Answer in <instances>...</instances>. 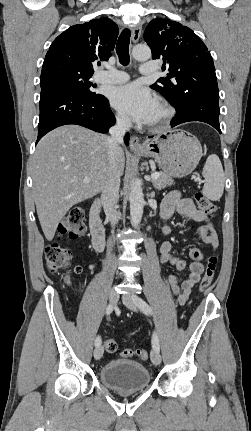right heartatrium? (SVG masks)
Instances as JSON below:
<instances>
[{"mask_svg": "<svg viewBox=\"0 0 251 431\" xmlns=\"http://www.w3.org/2000/svg\"><path fill=\"white\" fill-rule=\"evenodd\" d=\"M116 122L121 127H127L128 126V120L121 114L116 115Z\"/></svg>", "mask_w": 251, "mask_h": 431, "instance_id": "d8ad5b80", "label": "right heart atrium"}]
</instances>
